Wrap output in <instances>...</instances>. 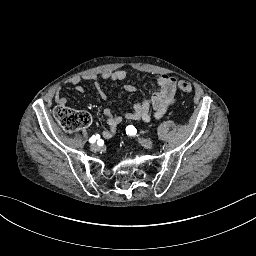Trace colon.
Returning a JSON list of instances; mask_svg holds the SVG:
<instances>
[{"instance_id":"5ec220e1","label":"colon","mask_w":256,"mask_h":256,"mask_svg":"<svg viewBox=\"0 0 256 256\" xmlns=\"http://www.w3.org/2000/svg\"><path fill=\"white\" fill-rule=\"evenodd\" d=\"M178 86L184 93L192 92V87L187 82L180 81ZM54 115L62 129L67 133H73L80 128L89 126L91 123V117L88 113L76 111L65 106L57 107Z\"/></svg>"}]
</instances>
